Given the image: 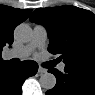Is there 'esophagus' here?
<instances>
[{"label": "esophagus", "instance_id": "1", "mask_svg": "<svg viewBox=\"0 0 95 95\" xmlns=\"http://www.w3.org/2000/svg\"><path fill=\"white\" fill-rule=\"evenodd\" d=\"M46 72H47V70H46L45 68L39 66V68H38V73H39V74H44V73H46Z\"/></svg>", "mask_w": 95, "mask_h": 95}]
</instances>
